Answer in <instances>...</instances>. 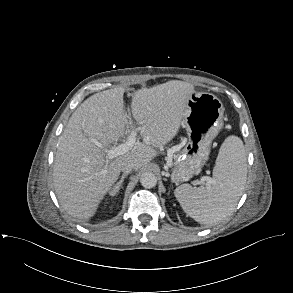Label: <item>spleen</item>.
Masks as SVG:
<instances>
[{
    "instance_id": "3e777b00",
    "label": "spleen",
    "mask_w": 293,
    "mask_h": 293,
    "mask_svg": "<svg viewBox=\"0 0 293 293\" xmlns=\"http://www.w3.org/2000/svg\"><path fill=\"white\" fill-rule=\"evenodd\" d=\"M247 176L245 148L237 136H229L220 147L213 178L207 186L182 184L175 197L184 212L201 224L222 221L234 211Z\"/></svg>"
}]
</instances>
